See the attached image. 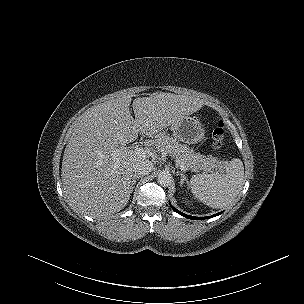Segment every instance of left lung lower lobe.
I'll use <instances>...</instances> for the list:
<instances>
[{
  "mask_svg": "<svg viewBox=\"0 0 304 304\" xmlns=\"http://www.w3.org/2000/svg\"><path fill=\"white\" fill-rule=\"evenodd\" d=\"M171 208L175 212L179 213L180 215H182V216H184L186 218H189V219H193V220H204V219H207V218H212V217L218 216V215H220L222 213V212H220V213L214 214L212 216H208V217H194V216L186 215V214L180 212L179 210H177L176 208H174L172 205H171Z\"/></svg>",
  "mask_w": 304,
  "mask_h": 304,
  "instance_id": "obj_1",
  "label": "left lung lower lobe"
}]
</instances>
